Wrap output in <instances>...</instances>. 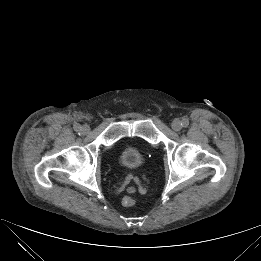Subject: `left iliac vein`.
Here are the masks:
<instances>
[{
    "label": "left iliac vein",
    "mask_w": 261,
    "mask_h": 261,
    "mask_svg": "<svg viewBox=\"0 0 261 261\" xmlns=\"http://www.w3.org/2000/svg\"><path fill=\"white\" fill-rule=\"evenodd\" d=\"M171 126H172V129H173L174 131H180V130L182 129L181 122H180V120H178V119H174V120L172 121Z\"/></svg>",
    "instance_id": "obj_1"
}]
</instances>
